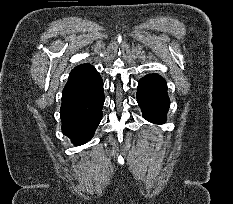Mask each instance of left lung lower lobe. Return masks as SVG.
<instances>
[{
	"instance_id": "1",
	"label": "left lung lower lobe",
	"mask_w": 233,
	"mask_h": 204,
	"mask_svg": "<svg viewBox=\"0 0 233 204\" xmlns=\"http://www.w3.org/2000/svg\"><path fill=\"white\" fill-rule=\"evenodd\" d=\"M137 101L146 120L161 124L170 106L166 81L157 74H149L138 83Z\"/></svg>"
}]
</instances>
